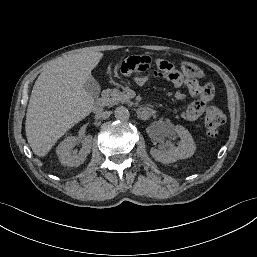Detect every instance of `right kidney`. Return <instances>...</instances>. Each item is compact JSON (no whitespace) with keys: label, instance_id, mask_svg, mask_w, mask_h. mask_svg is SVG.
Here are the masks:
<instances>
[{"label":"right kidney","instance_id":"ca27d5eb","mask_svg":"<svg viewBox=\"0 0 257 257\" xmlns=\"http://www.w3.org/2000/svg\"><path fill=\"white\" fill-rule=\"evenodd\" d=\"M77 140L75 136H68L58 145L57 155L61 164L74 167L81 165L86 160L91 150L92 136L87 135L82 138V148L78 153L73 150Z\"/></svg>","mask_w":257,"mask_h":257}]
</instances>
